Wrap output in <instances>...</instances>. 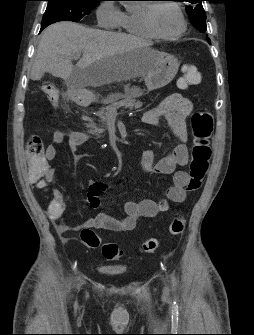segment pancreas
Returning a JSON list of instances; mask_svg holds the SVG:
<instances>
[{
  "label": "pancreas",
  "instance_id": "1",
  "mask_svg": "<svg viewBox=\"0 0 254 335\" xmlns=\"http://www.w3.org/2000/svg\"><path fill=\"white\" fill-rule=\"evenodd\" d=\"M130 90V89H129ZM107 106L102 107L98 113L97 116L100 118V121L102 124H105L107 117L109 115V112L112 110H116L120 107L129 108V109H138L142 107V102L136 101L130 93L125 94H111L103 101ZM90 124L87 126L90 128L89 133L99 135L104 132L103 128L97 127L91 120Z\"/></svg>",
  "mask_w": 254,
  "mask_h": 335
}]
</instances>
